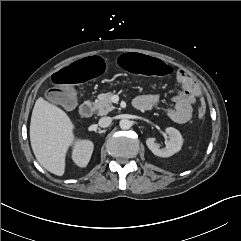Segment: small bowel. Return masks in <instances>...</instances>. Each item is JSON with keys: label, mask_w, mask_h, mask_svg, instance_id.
<instances>
[{"label": "small bowel", "mask_w": 241, "mask_h": 241, "mask_svg": "<svg viewBox=\"0 0 241 241\" xmlns=\"http://www.w3.org/2000/svg\"><path fill=\"white\" fill-rule=\"evenodd\" d=\"M176 77L182 85L183 90L174 96V107L168 111V115L174 122L185 124L192 117V105L200 94V88L194 76L184 69L177 70ZM159 102V95L145 94L137 97L134 104L140 103L145 110H149L155 107Z\"/></svg>", "instance_id": "1"}]
</instances>
